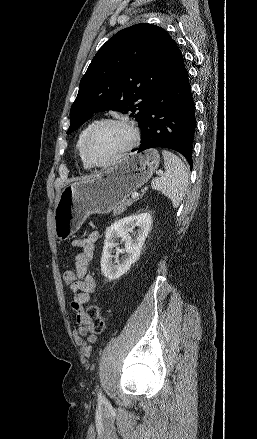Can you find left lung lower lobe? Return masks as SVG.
Returning a JSON list of instances; mask_svg holds the SVG:
<instances>
[{
	"label": "left lung lower lobe",
	"mask_w": 257,
	"mask_h": 439,
	"mask_svg": "<svg viewBox=\"0 0 257 439\" xmlns=\"http://www.w3.org/2000/svg\"><path fill=\"white\" fill-rule=\"evenodd\" d=\"M194 101L183 56L178 50L158 85L141 127V145L132 151L161 147L181 153L192 166L196 131Z\"/></svg>",
	"instance_id": "obj_1"
}]
</instances>
